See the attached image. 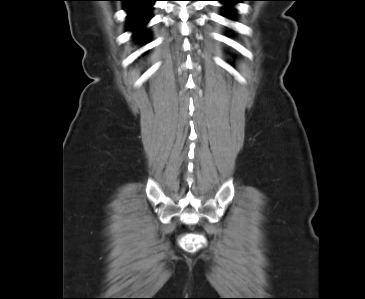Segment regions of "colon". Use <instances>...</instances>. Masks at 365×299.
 <instances>
[{
    "mask_svg": "<svg viewBox=\"0 0 365 299\" xmlns=\"http://www.w3.org/2000/svg\"><path fill=\"white\" fill-rule=\"evenodd\" d=\"M206 243V238L203 234H187L180 240L181 247L189 252L199 251Z\"/></svg>",
    "mask_w": 365,
    "mask_h": 299,
    "instance_id": "colon-1",
    "label": "colon"
}]
</instances>
